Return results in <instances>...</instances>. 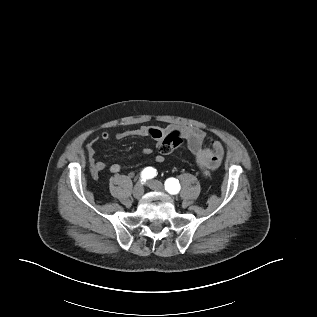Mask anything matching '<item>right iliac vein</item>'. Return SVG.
Here are the masks:
<instances>
[{
    "mask_svg": "<svg viewBox=\"0 0 317 317\" xmlns=\"http://www.w3.org/2000/svg\"><path fill=\"white\" fill-rule=\"evenodd\" d=\"M144 194V187L142 183H138L135 185L133 189V195L135 198L139 199Z\"/></svg>",
    "mask_w": 317,
    "mask_h": 317,
    "instance_id": "right-iliac-vein-1",
    "label": "right iliac vein"
}]
</instances>
